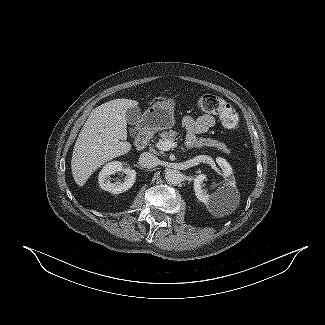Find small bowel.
<instances>
[{"instance_id": "c3829d8e", "label": "small bowel", "mask_w": 325, "mask_h": 325, "mask_svg": "<svg viewBox=\"0 0 325 325\" xmlns=\"http://www.w3.org/2000/svg\"><path fill=\"white\" fill-rule=\"evenodd\" d=\"M215 125V118L212 115L204 114L198 118L192 116H184L182 118V126L185 128L186 145L193 147L196 144L197 136L201 133L207 132Z\"/></svg>"}]
</instances>
